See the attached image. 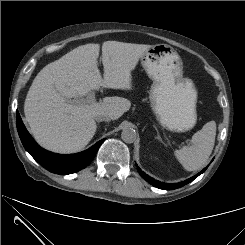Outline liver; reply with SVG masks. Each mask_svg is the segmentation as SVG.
Masks as SVG:
<instances>
[{
  "mask_svg": "<svg viewBox=\"0 0 245 245\" xmlns=\"http://www.w3.org/2000/svg\"><path fill=\"white\" fill-rule=\"evenodd\" d=\"M151 47L106 41L102 44L104 78L97 67L100 45H81L46 65L27 93L24 113L35 140L57 153L82 150L95 135V117L105 114L112 120L130 108L122 97H105L94 104H74L71 99L87 95L100 86L132 90V71Z\"/></svg>",
  "mask_w": 245,
  "mask_h": 245,
  "instance_id": "liver-1",
  "label": "liver"
}]
</instances>
